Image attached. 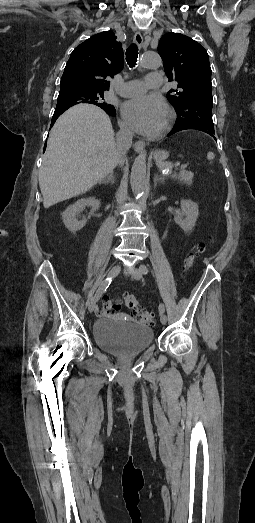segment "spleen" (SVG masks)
<instances>
[{"label":"spleen","instance_id":"obj_1","mask_svg":"<svg viewBox=\"0 0 255 523\" xmlns=\"http://www.w3.org/2000/svg\"><path fill=\"white\" fill-rule=\"evenodd\" d=\"M214 158L215 156L213 152H208L207 160H210V164ZM157 166L160 168V170H169V172H171V168H173V164H171V162H161V160H158Z\"/></svg>","mask_w":255,"mask_h":523}]
</instances>
